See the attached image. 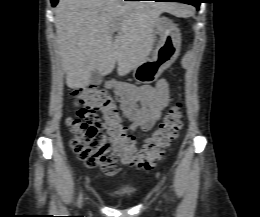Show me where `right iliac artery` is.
<instances>
[{
	"instance_id": "obj_1",
	"label": "right iliac artery",
	"mask_w": 260,
	"mask_h": 217,
	"mask_svg": "<svg viewBox=\"0 0 260 217\" xmlns=\"http://www.w3.org/2000/svg\"><path fill=\"white\" fill-rule=\"evenodd\" d=\"M81 203H82V194L79 195V198H78V206H81Z\"/></svg>"
}]
</instances>
